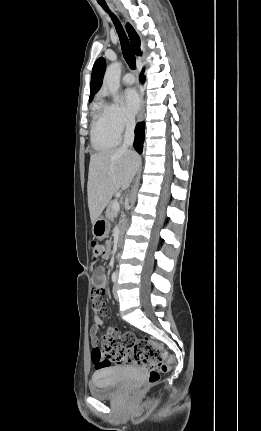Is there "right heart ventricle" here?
I'll return each instance as SVG.
<instances>
[{
  "label": "right heart ventricle",
  "instance_id": "obj_1",
  "mask_svg": "<svg viewBox=\"0 0 261 431\" xmlns=\"http://www.w3.org/2000/svg\"><path fill=\"white\" fill-rule=\"evenodd\" d=\"M91 140L94 148L99 151L114 149L120 142V135L111 130L103 108L98 104L93 106Z\"/></svg>",
  "mask_w": 261,
  "mask_h": 431
}]
</instances>
